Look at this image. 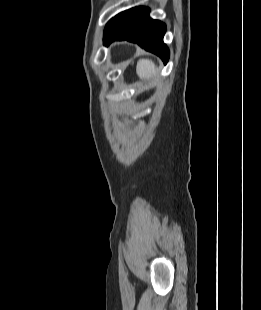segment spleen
<instances>
[{"label": "spleen", "mask_w": 261, "mask_h": 310, "mask_svg": "<svg viewBox=\"0 0 261 310\" xmlns=\"http://www.w3.org/2000/svg\"><path fill=\"white\" fill-rule=\"evenodd\" d=\"M137 75L140 79L149 81L157 75V68L153 61L149 59H140L136 67Z\"/></svg>", "instance_id": "spleen-1"}]
</instances>
